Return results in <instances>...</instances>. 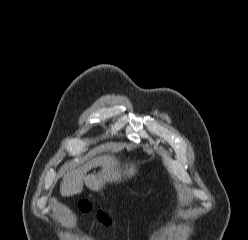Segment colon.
Instances as JSON below:
<instances>
[{"instance_id": "5ec220e1", "label": "colon", "mask_w": 248, "mask_h": 240, "mask_svg": "<svg viewBox=\"0 0 248 240\" xmlns=\"http://www.w3.org/2000/svg\"><path fill=\"white\" fill-rule=\"evenodd\" d=\"M80 210L84 213L92 211V205L87 201H82L79 204ZM98 220L105 226H108L111 224L110 217L103 211L98 210L96 212Z\"/></svg>"}]
</instances>
